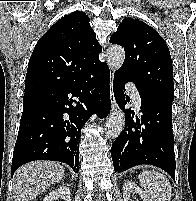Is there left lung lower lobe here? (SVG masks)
<instances>
[{
  "mask_svg": "<svg viewBox=\"0 0 196 201\" xmlns=\"http://www.w3.org/2000/svg\"><path fill=\"white\" fill-rule=\"evenodd\" d=\"M128 78L115 74L114 96L124 108L128 98L125 84ZM141 97V118H134L131 109H124L125 128L111 147L115 172L131 167L150 164L160 167L175 180L174 136L172 134V100L138 88Z\"/></svg>",
  "mask_w": 196,
  "mask_h": 201,
  "instance_id": "obj_1",
  "label": "left lung lower lobe"
}]
</instances>
